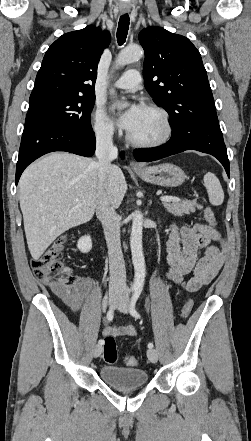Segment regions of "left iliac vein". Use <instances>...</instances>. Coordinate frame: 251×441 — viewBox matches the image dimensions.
Returning a JSON list of instances; mask_svg holds the SVG:
<instances>
[{
  "label": "left iliac vein",
  "mask_w": 251,
  "mask_h": 441,
  "mask_svg": "<svg viewBox=\"0 0 251 441\" xmlns=\"http://www.w3.org/2000/svg\"><path fill=\"white\" fill-rule=\"evenodd\" d=\"M130 308V304H129V298L125 297L124 299L121 300V302L118 305V310L122 313H128ZM147 357L148 359L152 362V363H156L158 361V353L155 349L153 348H149L147 350Z\"/></svg>",
  "instance_id": "left-iliac-vein-1"
}]
</instances>
